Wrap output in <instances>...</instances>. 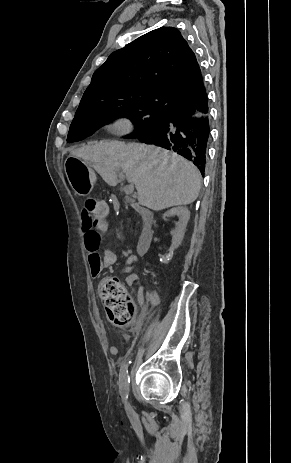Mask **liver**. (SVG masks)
<instances>
[{
	"label": "liver",
	"instance_id": "obj_1",
	"mask_svg": "<svg viewBox=\"0 0 291 463\" xmlns=\"http://www.w3.org/2000/svg\"><path fill=\"white\" fill-rule=\"evenodd\" d=\"M70 157L88 163L110 186L117 185V171L121 169L135 185L139 204L154 211L191 204L199 194L201 174L197 167L160 147L100 141L72 151Z\"/></svg>",
	"mask_w": 291,
	"mask_h": 463
}]
</instances>
